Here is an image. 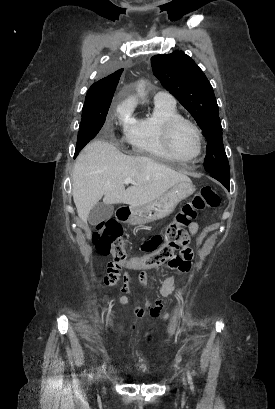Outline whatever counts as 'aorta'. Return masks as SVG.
I'll return each instance as SVG.
<instances>
[{"instance_id":"obj_1","label":"aorta","mask_w":275,"mask_h":409,"mask_svg":"<svg viewBox=\"0 0 275 409\" xmlns=\"http://www.w3.org/2000/svg\"><path fill=\"white\" fill-rule=\"evenodd\" d=\"M144 86H145L144 80H140V82L138 84L137 92H138L139 96H141V98H144V96L146 94Z\"/></svg>"}]
</instances>
